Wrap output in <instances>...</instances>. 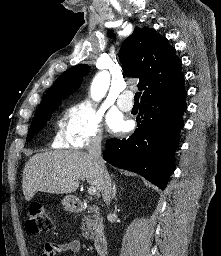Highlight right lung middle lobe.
I'll return each instance as SVG.
<instances>
[{
  "mask_svg": "<svg viewBox=\"0 0 221 256\" xmlns=\"http://www.w3.org/2000/svg\"><path fill=\"white\" fill-rule=\"evenodd\" d=\"M62 99L63 98H55L48 102H43L39 105L33 118L30 130L28 132V141L31 140V138L45 126L47 120L50 119L52 113L61 104Z\"/></svg>",
  "mask_w": 221,
  "mask_h": 256,
  "instance_id": "right-lung-middle-lobe-1",
  "label": "right lung middle lobe"
}]
</instances>
